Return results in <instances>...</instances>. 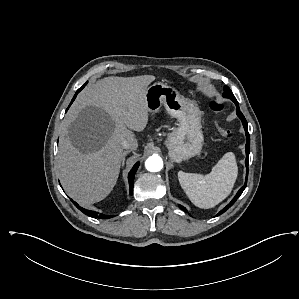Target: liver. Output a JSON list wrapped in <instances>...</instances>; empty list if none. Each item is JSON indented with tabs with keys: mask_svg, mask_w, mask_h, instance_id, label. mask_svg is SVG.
Masks as SVG:
<instances>
[{
	"mask_svg": "<svg viewBox=\"0 0 299 299\" xmlns=\"http://www.w3.org/2000/svg\"><path fill=\"white\" fill-rule=\"evenodd\" d=\"M154 80L153 75L103 78L86 87L69 110L57 166L64 190L82 206L103 200L115 186L123 140L148 123L146 91ZM77 120L85 122L80 131L72 128Z\"/></svg>",
	"mask_w": 299,
	"mask_h": 299,
	"instance_id": "liver-1",
	"label": "liver"
}]
</instances>
